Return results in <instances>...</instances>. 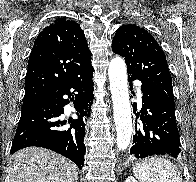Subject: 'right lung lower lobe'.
Listing matches in <instances>:
<instances>
[{
	"instance_id": "98d812e1",
	"label": "right lung lower lobe",
	"mask_w": 196,
	"mask_h": 182,
	"mask_svg": "<svg viewBox=\"0 0 196 182\" xmlns=\"http://www.w3.org/2000/svg\"><path fill=\"white\" fill-rule=\"evenodd\" d=\"M92 76L90 62L23 109L10 154L29 146L44 147L69 158L82 169L86 152L83 143L86 120L94 99ZM65 95L70 100L64 98ZM70 101H73L78 117L63 120V107Z\"/></svg>"
}]
</instances>
